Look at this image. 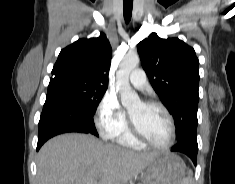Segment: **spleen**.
<instances>
[{
	"instance_id": "obj_1",
	"label": "spleen",
	"mask_w": 235,
	"mask_h": 184,
	"mask_svg": "<svg viewBox=\"0 0 235 184\" xmlns=\"http://www.w3.org/2000/svg\"><path fill=\"white\" fill-rule=\"evenodd\" d=\"M193 172L189 170L187 178H184L182 184H194V178H192Z\"/></svg>"
}]
</instances>
